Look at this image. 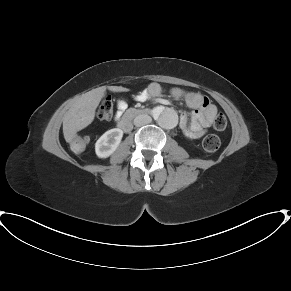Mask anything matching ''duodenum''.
Returning a JSON list of instances; mask_svg holds the SVG:
<instances>
[{"label": "duodenum", "mask_w": 291, "mask_h": 291, "mask_svg": "<svg viewBox=\"0 0 291 291\" xmlns=\"http://www.w3.org/2000/svg\"><path fill=\"white\" fill-rule=\"evenodd\" d=\"M151 113V109L148 108H131L128 109L124 115L122 116L121 120L119 121V128L123 132H128L130 130V120L135 116H144Z\"/></svg>", "instance_id": "1"}]
</instances>
